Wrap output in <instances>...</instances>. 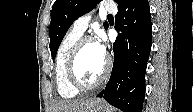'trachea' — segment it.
<instances>
[{"mask_svg": "<svg viewBox=\"0 0 193 112\" xmlns=\"http://www.w3.org/2000/svg\"><path fill=\"white\" fill-rule=\"evenodd\" d=\"M108 17H110V18H111V17H113V16L109 14V15H108Z\"/></svg>", "mask_w": 193, "mask_h": 112, "instance_id": "obj_1", "label": "trachea"}]
</instances>
